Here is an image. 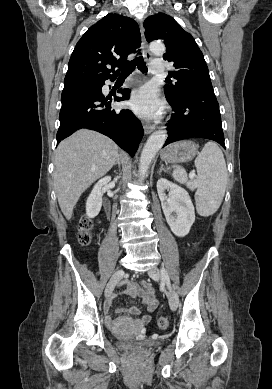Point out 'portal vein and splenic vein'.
<instances>
[{
  "mask_svg": "<svg viewBox=\"0 0 272 389\" xmlns=\"http://www.w3.org/2000/svg\"><path fill=\"white\" fill-rule=\"evenodd\" d=\"M189 177H190V179H194V178H195V172H191V173L189 174Z\"/></svg>",
  "mask_w": 272,
  "mask_h": 389,
  "instance_id": "1",
  "label": "portal vein and splenic vein"
}]
</instances>
